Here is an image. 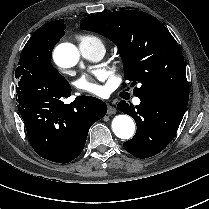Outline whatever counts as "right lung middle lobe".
<instances>
[{"instance_id":"dd1d6c3e","label":"right lung middle lobe","mask_w":209,"mask_h":209,"mask_svg":"<svg viewBox=\"0 0 209 209\" xmlns=\"http://www.w3.org/2000/svg\"><path fill=\"white\" fill-rule=\"evenodd\" d=\"M64 21H58L47 29H38L28 40L21 52L15 77L20 80L25 77H35L45 81L68 85L67 80L52 67L51 55L56 43L63 36Z\"/></svg>"}]
</instances>
